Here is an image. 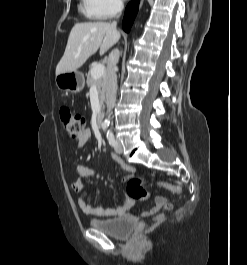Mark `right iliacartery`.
<instances>
[{"instance_id":"right-iliac-artery-1","label":"right iliac artery","mask_w":247,"mask_h":265,"mask_svg":"<svg viewBox=\"0 0 247 265\" xmlns=\"http://www.w3.org/2000/svg\"><path fill=\"white\" fill-rule=\"evenodd\" d=\"M108 126H109V124L104 123V124L102 125V128H103V129H106Z\"/></svg>"}]
</instances>
